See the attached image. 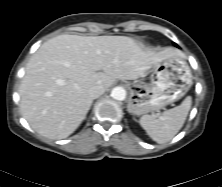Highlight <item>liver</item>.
I'll list each match as a JSON object with an SVG mask.
<instances>
[{"label": "liver", "instance_id": "1", "mask_svg": "<svg viewBox=\"0 0 222 187\" xmlns=\"http://www.w3.org/2000/svg\"><path fill=\"white\" fill-rule=\"evenodd\" d=\"M179 54L171 47L146 48L126 36H56L43 43L26 66L19 87L22 116L40 135L64 139L86 117L93 102L91 87L106 90L117 79H138Z\"/></svg>", "mask_w": 222, "mask_h": 187}]
</instances>
